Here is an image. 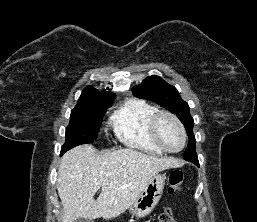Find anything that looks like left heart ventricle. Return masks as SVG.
Segmentation results:
<instances>
[{
    "label": "left heart ventricle",
    "instance_id": "obj_1",
    "mask_svg": "<svg viewBox=\"0 0 257 222\" xmlns=\"http://www.w3.org/2000/svg\"><path fill=\"white\" fill-rule=\"evenodd\" d=\"M158 133L166 147L172 150L179 149L182 145L183 138L179 127L170 118H162L159 126Z\"/></svg>",
    "mask_w": 257,
    "mask_h": 222
}]
</instances>
